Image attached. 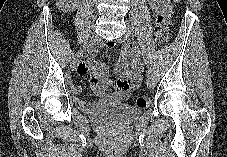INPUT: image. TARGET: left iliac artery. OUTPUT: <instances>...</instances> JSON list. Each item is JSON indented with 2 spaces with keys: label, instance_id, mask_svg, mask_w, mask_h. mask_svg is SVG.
<instances>
[{
  "label": "left iliac artery",
  "instance_id": "1",
  "mask_svg": "<svg viewBox=\"0 0 227 157\" xmlns=\"http://www.w3.org/2000/svg\"><path fill=\"white\" fill-rule=\"evenodd\" d=\"M132 33L135 34V35L138 34L137 26H132ZM145 62H146V65H147V72H148V74H150L152 72V70H151V67L148 64L149 62L147 60H145Z\"/></svg>",
  "mask_w": 227,
  "mask_h": 157
}]
</instances>
